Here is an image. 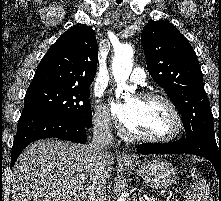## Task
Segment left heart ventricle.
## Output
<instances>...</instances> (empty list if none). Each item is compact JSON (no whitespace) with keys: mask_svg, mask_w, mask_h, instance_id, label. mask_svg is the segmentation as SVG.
Here are the masks:
<instances>
[{"mask_svg":"<svg viewBox=\"0 0 221 201\" xmlns=\"http://www.w3.org/2000/svg\"><path fill=\"white\" fill-rule=\"evenodd\" d=\"M126 103L129 110L123 124L133 133L146 136H166L173 131V117L161 101H140L130 98Z\"/></svg>","mask_w":221,"mask_h":201,"instance_id":"b2bd125f","label":"left heart ventricle"}]
</instances>
